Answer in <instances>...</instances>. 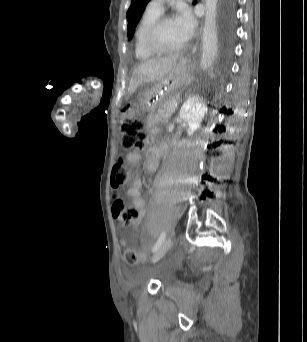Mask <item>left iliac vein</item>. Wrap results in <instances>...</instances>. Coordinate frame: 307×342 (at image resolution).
Returning a JSON list of instances; mask_svg holds the SVG:
<instances>
[{
  "label": "left iliac vein",
  "instance_id": "1",
  "mask_svg": "<svg viewBox=\"0 0 307 342\" xmlns=\"http://www.w3.org/2000/svg\"><path fill=\"white\" fill-rule=\"evenodd\" d=\"M172 246V237L169 236L159 247V249L155 252V254L152 256V262L156 263L162 257L166 254V252L171 248Z\"/></svg>",
  "mask_w": 307,
  "mask_h": 342
}]
</instances>
